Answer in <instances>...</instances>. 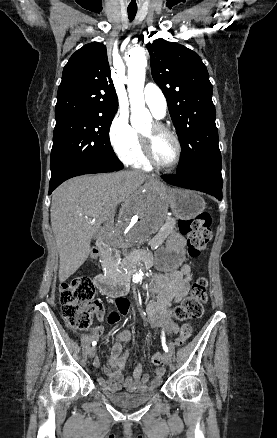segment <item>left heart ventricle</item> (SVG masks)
I'll return each instance as SVG.
<instances>
[{"label": "left heart ventricle", "mask_w": 277, "mask_h": 438, "mask_svg": "<svg viewBox=\"0 0 277 438\" xmlns=\"http://www.w3.org/2000/svg\"><path fill=\"white\" fill-rule=\"evenodd\" d=\"M142 134L153 135L154 138V151L157 159L163 164H171L176 156V144L174 140L163 133H155L152 123H150Z\"/></svg>", "instance_id": "obj_1"}]
</instances>
